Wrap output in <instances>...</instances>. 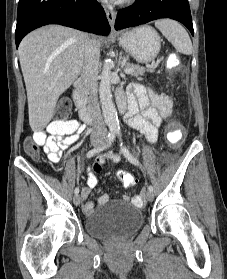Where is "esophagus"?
Masks as SVG:
<instances>
[{
    "label": "esophagus",
    "mask_w": 227,
    "mask_h": 279,
    "mask_svg": "<svg viewBox=\"0 0 227 279\" xmlns=\"http://www.w3.org/2000/svg\"><path fill=\"white\" fill-rule=\"evenodd\" d=\"M105 13H106L108 22L110 24L111 31H112V33H114L115 32V30H114L115 14L111 9H108V8L105 9Z\"/></svg>",
    "instance_id": "esophagus-1"
}]
</instances>
